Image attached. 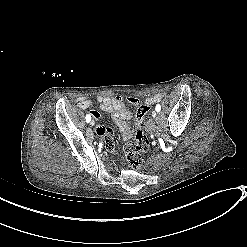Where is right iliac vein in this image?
<instances>
[{"label": "right iliac vein", "instance_id": "1", "mask_svg": "<svg viewBox=\"0 0 247 247\" xmlns=\"http://www.w3.org/2000/svg\"><path fill=\"white\" fill-rule=\"evenodd\" d=\"M90 124H91V126H94V121L92 120V121L90 122Z\"/></svg>", "mask_w": 247, "mask_h": 247}]
</instances>
